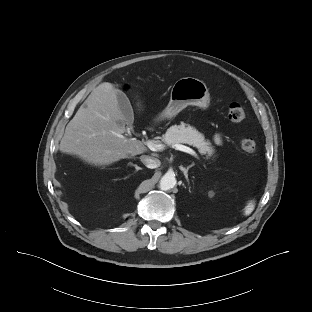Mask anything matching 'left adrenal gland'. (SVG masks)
<instances>
[{"mask_svg": "<svg viewBox=\"0 0 312 312\" xmlns=\"http://www.w3.org/2000/svg\"><path fill=\"white\" fill-rule=\"evenodd\" d=\"M193 166H194V164L189 165L187 168H184L183 166H180V169H181V171H183L184 176H185L187 182H189V179H188V170H189L191 167H193Z\"/></svg>", "mask_w": 312, "mask_h": 312, "instance_id": "a2214340", "label": "left adrenal gland"}]
</instances>
